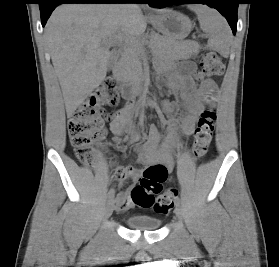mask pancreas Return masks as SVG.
<instances>
[{"label": "pancreas", "instance_id": "cf45deb5", "mask_svg": "<svg viewBox=\"0 0 279 267\" xmlns=\"http://www.w3.org/2000/svg\"><path fill=\"white\" fill-rule=\"evenodd\" d=\"M151 49L165 59L179 60L190 58L198 52L199 45L194 41L177 42L175 40L152 33L149 37ZM144 50L142 41L135 40L125 44L119 63L121 76L127 81H137L143 75L142 57Z\"/></svg>", "mask_w": 279, "mask_h": 267}]
</instances>
